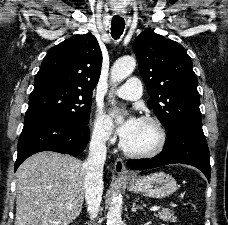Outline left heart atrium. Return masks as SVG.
<instances>
[{
    "label": "left heart atrium",
    "instance_id": "left-heart-atrium-1",
    "mask_svg": "<svg viewBox=\"0 0 228 225\" xmlns=\"http://www.w3.org/2000/svg\"><path fill=\"white\" fill-rule=\"evenodd\" d=\"M109 121L123 140L131 139L137 132L140 124V119L133 114L123 117V113L120 109H112L110 111Z\"/></svg>",
    "mask_w": 228,
    "mask_h": 225
}]
</instances>
